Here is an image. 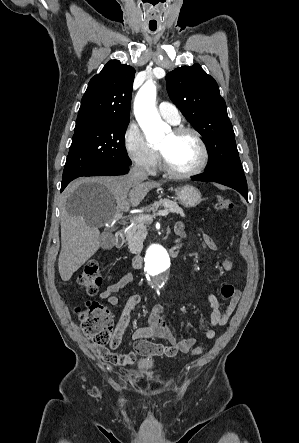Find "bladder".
I'll use <instances>...</instances> for the list:
<instances>
[{
    "instance_id": "1",
    "label": "bladder",
    "mask_w": 299,
    "mask_h": 443,
    "mask_svg": "<svg viewBox=\"0 0 299 443\" xmlns=\"http://www.w3.org/2000/svg\"><path fill=\"white\" fill-rule=\"evenodd\" d=\"M154 364L155 362L153 359H143L137 362L135 368L137 372L141 373L153 368Z\"/></svg>"
}]
</instances>
